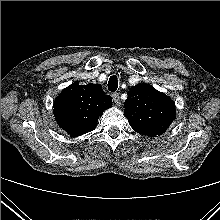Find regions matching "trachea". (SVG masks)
I'll return each instance as SVG.
<instances>
[{
    "mask_svg": "<svg viewBox=\"0 0 220 220\" xmlns=\"http://www.w3.org/2000/svg\"><path fill=\"white\" fill-rule=\"evenodd\" d=\"M118 88V79L116 76H111L108 81V90L115 92Z\"/></svg>",
    "mask_w": 220,
    "mask_h": 220,
    "instance_id": "3493384b",
    "label": "trachea"
}]
</instances>
